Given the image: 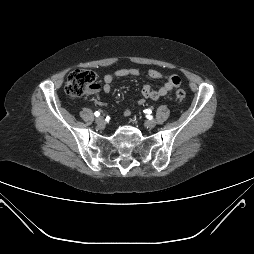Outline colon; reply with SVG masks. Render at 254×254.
<instances>
[{"label":"colon","mask_w":254,"mask_h":254,"mask_svg":"<svg viewBox=\"0 0 254 254\" xmlns=\"http://www.w3.org/2000/svg\"><path fill=\"white\" fill-rule=\"evenodd\" d=\"M98 88L96 83V75L90 70H75L71 72L67 78L65 91L69 98L77 99L86 92ZM186 97V93L182 89L175 92L177 101L182 102Z\"/></svg>","instance_id":"1"}]
</instances>
